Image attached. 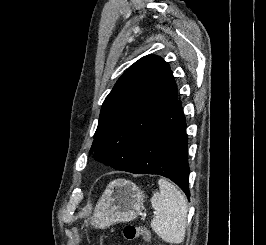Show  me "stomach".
I'll list each match as a JSON object with an SVG mask.
<instances>
[{
  "label": "stomach",
  "instance_id": "stomach-1",
  "mask_svg": "<svg viewBox=\"0 0 266 245\" xmlns=\"http://www.w3.org/2000/svg\"><path fill=\"white\" fill-rule=\"evenodd\" d=\"M143 199L144 195L135 183L114 179L107 185L87 225L94 229H107L116 223L134 221L141 211Z\"/></svg>",
  "mask_w": 266,
  "mask_h": 245
}]
</instances>
